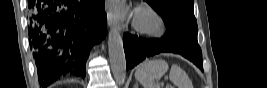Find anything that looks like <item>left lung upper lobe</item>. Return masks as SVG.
<instances>
[{
  "label": "left lung upper lobe",
  "instance_id": "1",
  "mask_svg": "<svg viewBox=\"0 0 267 88\" xmlns=\"http://www.w3.org/2000/svg\"><path fill=\"white\" fill-rule=\"evenodd\" d=\"M160 13L168 30L198 33L193 0H145Z\"/></svg>",
  "mask_w": 267,
  "mask_h": 88
}]
</instances>
